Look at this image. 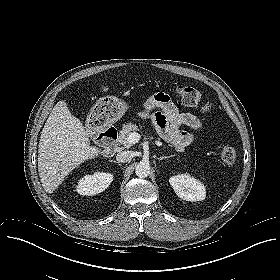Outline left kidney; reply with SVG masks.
<instances>
[{
  "label": "left kidney",
  "mask_w": 280,
  "mask_h": 280,
  "mask_svg": "<svg viewBox=\"0 0 280 280\" xmlns=\"http://www.w3.org/2000/svg\"><path fill=\"white\" fill-rule=\"evenodd\" d=\"M169 183L178 197L186 201H203L206 197L204 184L189 174L170 177Z\"/></svg>",
  "instance_id": "obj_1"
}]
</instances>
